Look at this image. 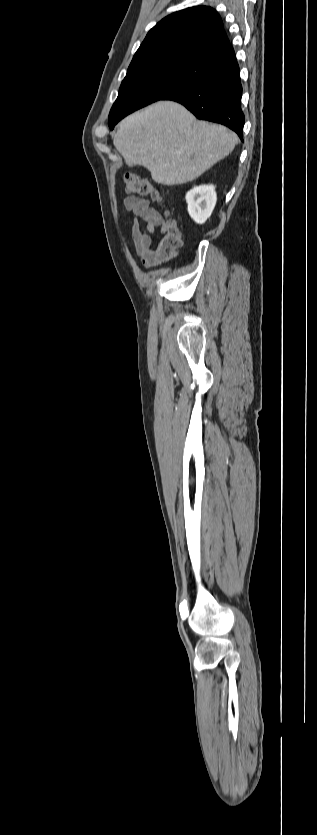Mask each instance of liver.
<instances>
[{
  "mask_svg": "<svg viewBox=\"0 0 317 835\" xmlns=\"http://www.w3.org/2000/svg\"><path fill=\"white\" fill-rule=\"evenodd\" d=\"M237 135L218 124L196 121L182 105L158 101L120 123L114 146L126 164L142 165L160 184L192 181L229 155Z\"/></svg>",
  "mask_w": 317,
  "mask_h": 835,
  "instance_id": "liver-1",
  "label": "liver"
}]
</instances>
